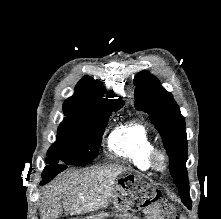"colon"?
Instances as JSON below:
<instances>
[{"label": "colon", "mask_w": 221, "mask_h": 219, "mask_svg": "<svg viewBox=\"0 0 221 219\" xmlns=\"http://www.w3.org/2000/svg\"><path fill=\"white\" fill-rule=\"evenodd\" d=\"M122 193L137 195L138 207L146 208L149 207L156 198L154 188L136 181H127L121 186Z\"/></svg>", "instance_id": "5ec220e1"}]
</instances>
